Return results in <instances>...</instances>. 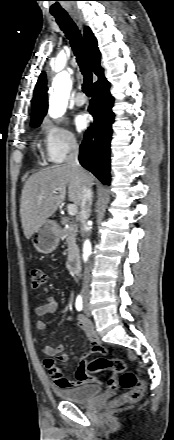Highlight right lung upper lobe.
<instances>
[{
	"label": "right lung upper lobe",
	"instance_id": "cb5924a9",
	"mask_svg": "<svg viewBox=\"0 0 174 440\" xmlns=\"http://www.w3.org/2000/svg\"><path fill=\"white\" fill-rule=\"evenodd\" d=\"M84 37L94 73L99 77L98 81L94 83L95 85L104 77L103 69L100 66L101 54L97 46V40L89 27L85 28ZM47 109L48 98L46 89V75L43 72L40 75L34 90V95L32 99L31 123L42 121L43 117L47 113Z\"/></svg>",
	"mask_w": 174,
	"mask_h": 440
}]
</instances>
